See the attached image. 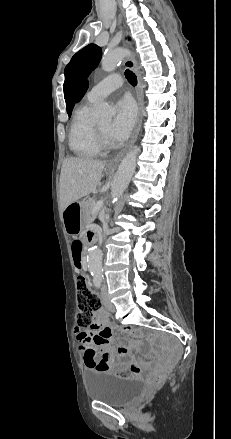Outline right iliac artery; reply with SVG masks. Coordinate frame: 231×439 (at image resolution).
I'll return each mask as SVG.
<instances>
[{"instance_id":"82829eb1","label":"right iliac artery","mask_w":231,"mask_h":439,"mask_svg":"<svg viewBox=\"0 0 231 439\" xmlns=\"http://www.w3.org/2000/svg\"><path fill=\"white\" fill-rule=\"evenodd\" d=\"M101 282H102V279H94V285L96 286V287H100V285H101Z\"/></svg>"}]
</instances>
